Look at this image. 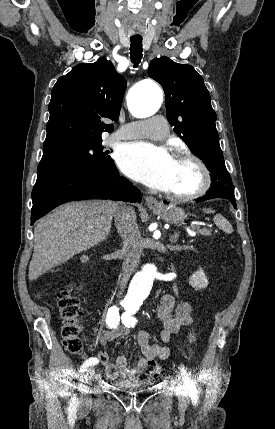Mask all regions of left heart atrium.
Here are the masks:
<instances>
[{
  "instance_id": "left-heart-atrium-1",
  "label": "left heart atrium",
  "mask_w": 275,
  "mask_h": 429,
  "mask_svg": "<svg viewBox=\"0 0 275 429\" xmlns=\"http://www.w3.org/2000/svg\"><path fill=\"white\" fill-rule=\"evenodd\" d=\"M117 161L129 177L165 191L175 160L164 147L137 142L124 146L118 153Z\"/></svg>"
}]
</instances>
